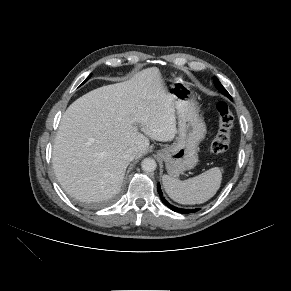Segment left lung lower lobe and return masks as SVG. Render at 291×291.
I'll return each mask as SVG.
<instances>
[{"instance_id": "1", "label": "left lung lower lobe", "mask_w": 291, "mask_h": 291, "mask_svg": "<svg viewBox=\"0 0 291 291\" xmlns=\"http://www.w3.org/2000/svg\"><path fill=\"white\" fill-rule=\"evenodd\" d=\"M158 193L161 197V200L162 202L167 206L169 207L171 210L175 211V212H178V213H182V214H188V213H194V212H197L199 209H182V208H177L173 205H171L170 203H168V201H166V199L163 197V194H162V191H161V188H160V184H158Z\"/></svg>"}]
</instances>
